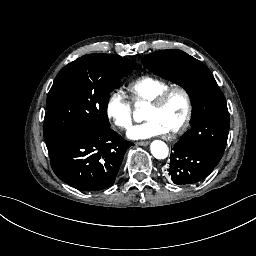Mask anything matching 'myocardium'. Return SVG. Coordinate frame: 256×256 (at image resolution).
<instances>
[{"label": "myocardium", "instance_id": "myocardium-1", "mask_svg": "<svg viewBox=\"0 0 256 256\" xmlns=\"http://www.w3.org/2000/svg\"><path fill=\"white\" fill-rule=\"evenodd\" d=\"M173 93H177L178 95H180V97L182 98L183 104H184V110H183L182 114L180 116H178L176 119H174L171 123V129L176 130V129L183 127L186 124V122L189 120L190 115H191L190 99H189L186 91L183 88L176 86L170 92H165L153 104H151L146 109L145 113L147 115H150L149 114L150 110L156 111V110L162 109Z\"/></svg>", "mask_w": 256, "mask_h": 256}]
</instances>
